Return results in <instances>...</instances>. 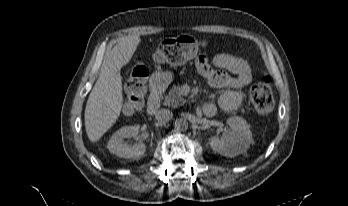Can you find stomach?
Masks as SVG:
<instances>
[{
    "label": "stomach",
    "mask_w": 348,
    "mask_h": 206,
    "mask_svg": "<svg viewBox=\"0 0 348 206\" xmlns=\"http://www.w3.org/2000/svg\"><path fill=\"white\" fill-rule=\"evenodd\" d=\"M181 46L186 52L188 58H194L199 50L200 46H205L204 41H198L195 37L191 35H184L180 37ZM173 80V73L171 71H161L156 72L153 75V81L160 86L169 85Z\"/></svg>",
    "instance_id": "1"
}]
</instances>
